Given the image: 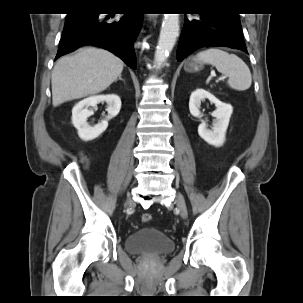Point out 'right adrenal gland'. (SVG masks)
Wrapping results in <instances>:
<instances>
[{"mask_svg":"<svg viewBox=\"0 0 303 303\" xmlns=\"http://www.w3.org/2000/svg\"><path fill=\"white\" fill-rule=\"evenodd\" d=\"M118 80H122V81H124V80L122 79L121 75L119 76ZM116 81H117V80H116Z\"/></svg>","mask_w":303,"mask_h":303,"instance_id":"right-adrenal-gland-1","label":"right adrenal gland"}]
</instances>
